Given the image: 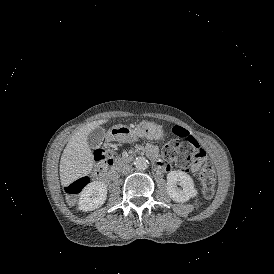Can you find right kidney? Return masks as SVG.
Returning <instances> with one entry per match:
<instances>
[{
    "label": "right kidney",
    "mask_w": 274,
    "mask_h": 274,
    "mask_svg": "<svg viewBox=\"0 0 274 274\" xmlns=\"http://www.w3.org/2000/svg\"><path fill=\"white\" fill-rule=\"evenodd\" d=\"M107 186L101 182L94 181L83 188L78 202L83 211H91L103 205L106 200Z\"/></svg>",
    "instance_id": "ca27d5eb"
}]
</instances>
